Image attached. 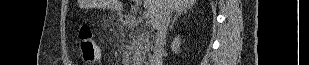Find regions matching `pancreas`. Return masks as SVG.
I'll use <instances>...</instances> for the list:
<instances>
[{"instance_id":"obj_1","label":"pancreas","mask_w":309,"mask_h":65,"mask_svg":"<svg viewBox=\"0 0 309 65\" xmlns=\"http://www.w3.org/2000/svg\"><path fill=\"white\" fill-rule=\"evenodd\" d=\"M131 47L129 48L130 59L132 61L141 58L151 47V41L145 32H136L131 36Z\"/></svg>"}]
</instances>
